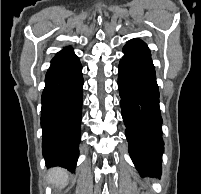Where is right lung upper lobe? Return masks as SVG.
I'll list each match as a JSON object with an SVG mask.
<instances>
[{
  "label": "right lung upper lobe",
  "mask_w": 201,
  "mask_h": 194,
  "mask_svg": "<svg viewBox=\"0 0 201 194\" xmlns=\"http://www.w3.org/2000/svg\"><path fill=\"white\" fill-rule=\"evenodd\" d=\"M72 57H76L73 50L71 48H64L63 50H61L60 52L56 54V56L52 59V61L67 59Z\"/></svg>",
  "instance_id": "obj_1"
}]
</instances>
